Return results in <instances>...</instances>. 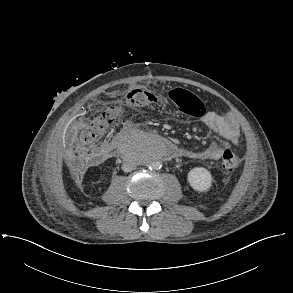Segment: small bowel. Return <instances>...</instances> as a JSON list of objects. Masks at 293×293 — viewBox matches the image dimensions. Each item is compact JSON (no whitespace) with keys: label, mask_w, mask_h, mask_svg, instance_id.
Masks as SVG:
<instances>
[{"label":"small bowel","mask_w":293,"mask_h":293,"mask_svg":"<svg viewBox=\"0 0 293 293\" xmlns=\"http://www.w3.org/2000/svg\"><path fill=\"white\" fill-rule=\"evenodd\" d=\"M153 97L151 94L152 101ZM194 115L200 117L202 123L211 133L222 138L224 142L220 144L217 140H213L203 150L186 149L182 151V156L200 160H218L222 157L225 148H230L239 143L240 130L237 123L216 113L207 112L204 103L199 98L195 105Z\"/></svg>","instance_id":"small-bowel-1"}]
</instances>
